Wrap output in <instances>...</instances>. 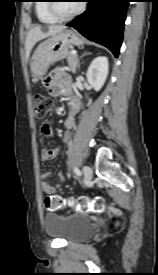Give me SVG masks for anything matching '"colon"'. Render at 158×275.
I'll return each mask as SVG.
<instances>
[{
  "label": "colon",
  "instance_id": "colon-1",
  "mask_svg": "<svg viewBox=\"0 0 158 275\" xmlns=\"http://www.w3.org/2000/svg\"><path fill=\"white\" fill-rule=\"evenodd\" d=\"M34 112L37 118L44 117L52 107V99L44 92H35L33 94ZM73 206L81 212H102L105 208V201L98 197L90 199L79 197L77 199H64L61 196L50 195L44 198L46 209L55 211L62 209L65 205Z\"/></svg>",
  "mask_w": 158,
  "mask_h": 275
}]
</instances>
